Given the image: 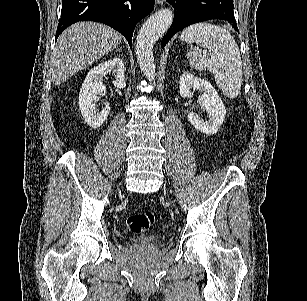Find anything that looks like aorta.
I'll list each match as a JSON object with an SVG mask.
<instances>
[{
  "mask_svg": "<svg viewBox=\"0 0 307 301\" xmlns=\"http://www.w3.org/2000/svg\"><path fill=\"white\" fill-rule=\"evenodd\" d=\"M174 12L171 8H160L142 24L136 38V54L140 70L148 80L156 76L153 44L170 28Z\"/></svg>",
  "mask_w": 307,
  "mask_h": 301,
  "instance_id": "aorta-1",
  "label": "aorta"
}]
</instances>
